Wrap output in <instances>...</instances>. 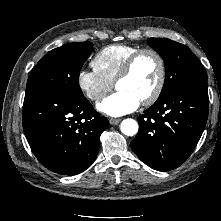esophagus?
Masks as SVG:
<instances>
[{
    "mask_svg": "<svg viewBox=\"0 0 221 221\" xmlns=\"http://www.w3.org/2000/svg\"><path fill=\"white\" fill-rule=\"evenodd\" d=\"M120 121H121V119H117V118H110V119H109V122H110V124H112V125H116V124H118Z\"/></svg>",
    "mask_w": 221,
    "mask_h": 221,
    "instance_id": "esophagus-1",
    "label": "esophagus"
}]
</instances>
